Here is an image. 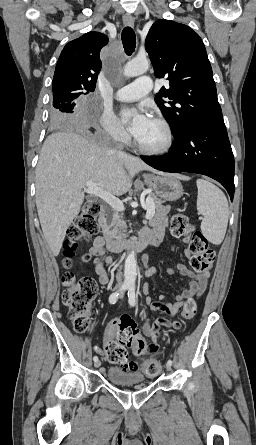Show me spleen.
<instances>
[{
	"mask_svg": "<svg viewBox=\"0 0 256 445\" xmlns=\"http://www.w3.org/2000/svg\"><path fill=\"white\" fill-rule=\"evenodd\" d=\"M197 210L203 216L201 231L211 243L220 244L225 236L229 207L224 193L214 184L197 179Z\"/></svg>",
	"mask_w": 256,
	"mask_h": 445,
	"instance_id": "spleen-1",
	"label": "spleen"
}]
</instances>
